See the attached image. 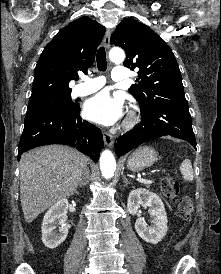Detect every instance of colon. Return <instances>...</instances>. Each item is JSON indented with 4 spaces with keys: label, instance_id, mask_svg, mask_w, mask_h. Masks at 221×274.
<instances>
[{
    "label": "colon",
    "instance_id": "1",
    "mask_svg": "<svg viewBox=\"0 0 221 274\" xmlns=\"http://www.w3.org/2000/svg\"><path fill=\"white\" fill-rule=\"evenodd\" d=\"M161 191L167 198H175L179 193V184L173 177H166L162 180ZM179 215L184 219H189L193 212V202L189 197H183L178 204Z\"/></svg>",
    "mask_w": 221,
    "mask_h": 274
}]
</instances>
